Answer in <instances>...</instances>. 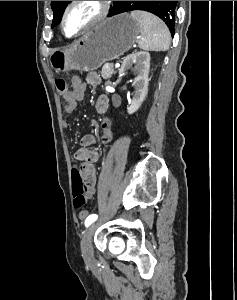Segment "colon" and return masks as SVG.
<instances>
[{
	"label": "colon",
	"instance_id": "5ec220e1",
	"mask_svg": "<svg viewBox=\"0 0 237 300\" xmlns=\"http://www.w3.org/2000/svg\"><path fill=\"white\" fill-rule=\"evenodd\" d=\"M55 83L60 94L70 92L76 99H82L85 92V85H79L78 87L73 88L71 91H68V85L64 79L58 78L56 79ZM72 194L74 198V206L76 208L83 207L86 203V197L84 195V181L80 171L77 168H73L72 170Z\"/></svg>",
	"mask_w": 237,
	"mask_h": 300
}]
</instances>
